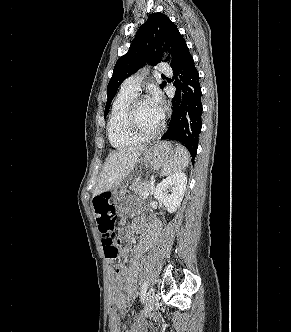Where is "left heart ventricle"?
<instances>
[{
	"mask_svg": "<svg viewBox=\"0 0 291 332\" xmlns=\"http://www.w3.org/2000/svg\"><path fill=\"white\" fill-rule=\"evenodd\" d=\"M137 122L143 132L154 131L161 123L160 108L150 100L142 102L137 111Z\"/></svg>",
	"mask_w": 291,
	"mask_h": 332,
	"instance_id": "obj_1",
	"label": "left heart ventricle"
}]
</instances>
